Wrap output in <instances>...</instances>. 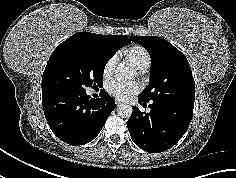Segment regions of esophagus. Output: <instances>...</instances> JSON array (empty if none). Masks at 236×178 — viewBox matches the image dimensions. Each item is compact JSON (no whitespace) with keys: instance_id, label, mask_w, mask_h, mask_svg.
<instances>
[{"instance_id":"1","label":"esophagus","mask_w":236,"mask_h":178,"mask_svg":"<svg viewBox=\"0 0 236 178\" xmlns=\"http://www.w3.org/2000/svg\"><path fill=\"white\" fill-rule=\"evenodd\" d=\"M115 104H116V106H119V105H121V104H122V102H121V101H119V100H116V101H115Z\"/></svg>"}]
</instances>
